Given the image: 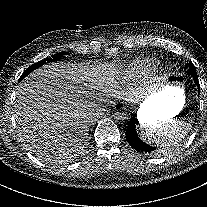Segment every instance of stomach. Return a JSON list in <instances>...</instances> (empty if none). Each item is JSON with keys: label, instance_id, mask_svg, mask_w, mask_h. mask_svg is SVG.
<instances>
[{"label": "stomach", "instance_id": "1", "mask_svg": "<svg viewBox=\"0 0 207 207\" xmlns=\"http://www.w3.org/2000/svg\"><path fill=\"white\" fill-rule=\"evenodd\" d=\"M183 85L181 75H169L163 87L141 103L137 112L140 124L153 125L178 115L185 104Z\"/></svg>", "mask_w": 207, "mask_h": 207}]
</instances>
